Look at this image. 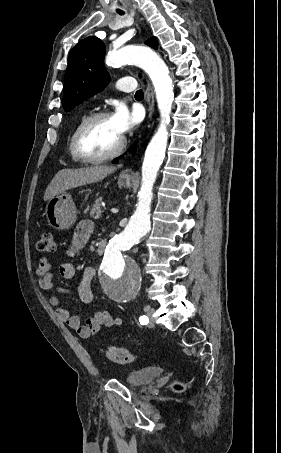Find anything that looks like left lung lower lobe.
I'll list each match as a JSON object with an SVG mask.
<instances>
[{"instance_id":"obj_1","label":"left lung lower lobe","mask_w":281,"mask_h":453,"mask_svg":"<svg viewBox=\"0 0 281 453\" xmlns=\"http://www.w3.org/2000/svg\"><path fill=\"white\" fill-rule=\"evenodd\" d=\"M131 150H132L133 153L135 152V148H134V147H132ZM113 163H117V159H115V160L113 161Z\"/></svg>"}]
</instances>
